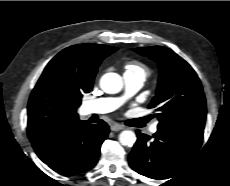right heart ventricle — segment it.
<instances>
[{
    "instance_id": "e07e8e85",
    "label": "right heart ventricle",
    "mask_w": 230,
    "mask_h": 186,
    "mask_svg": "<svg viewBox=\"0 0 230 186\" xmlns=\"http://www.w3.org/2000/svg\"><path fill=\"white\" fill-rule=\"evenodd\" d=\"M126 72L133 73V74H141L144 77H146L149 71L148 68L143 63L137 60H132L125 65V73Z\"/></svg>"
}]
</instances>
